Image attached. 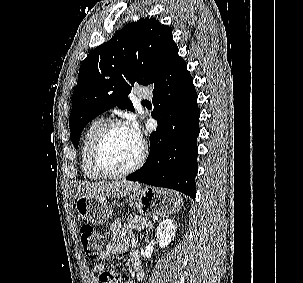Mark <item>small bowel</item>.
<instances>
[{
	"label": "small bowel",
	"instance_id": "obj_1",
	"mask_svg": "<svg viewBox=\"0 0 303 283\" xmlns=\"http://www.w3.org/2000/svg\"><path fill=\"white\" fill-rule=\"evenodd\" d=\"M111 237V241L107 244L105 250H103L100 254V260L102 261L108 260L115 255L122 254L126 252L129 247H135L137 245L134 236L123 228L121 220H116L113 222L111 226ZM130 264L136 274V281H139L143 276V270L137 252H133L130 259ZM103 269L104 265L102 263H98L93 266L92 274L98 275L103 271ZM118 283H122L119 277ZM125 283L136 282L133 280H128Z\"/></svg>",
	"mask_w": 303,
	"mask_h": 283
}]
</instances>
